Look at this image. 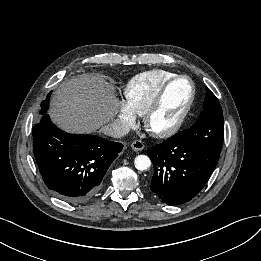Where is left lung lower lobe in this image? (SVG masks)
Instances as JSON below:
<instances>
[{"label": "left lung lower lobe", "mask_w": 261, "mask_h": 261, "mask_svg": "<svg viewBox=\"0 0 261 261\" xmlns=\"http://www.w3.org/2000/svg\"><path fill=\"white\" fill-rule=\"evenodd\" d=\"M147 154L154 166L151 191L167 205L184 204L194 198L219 160V153L192 143L188 130L151 147Z\"/></svg>", "instance_id": "obj_1"}]
</instances>
